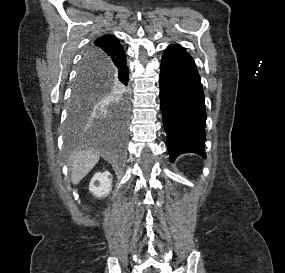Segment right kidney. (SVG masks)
Masks as SVG:
<instances>
[{
  "mask_svg": "<svg viewBox=\"0 0 285 273\" xmlns=\"http://www.w3.org/2000/svg\"><path fill=\"white\" fill-rule=\"evenodd\" d=\"M111 174L108 171L103 173H96L89 184L90 192L96 197H104L111 190L112 179L109 178Z\"/></svg>",
  "mask_w": 285,
  "mask_h": 273,
  "instance_id": "right-kidney-1",
  "label": "right kidney"
}]
</instances>
